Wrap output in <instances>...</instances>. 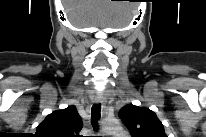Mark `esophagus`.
Instances as JSON below:
<instances>
[{
    "mask_svg": "<svg viewBox=\"0 0 206 137\" xmlns=\"http://www.w3.org/2000/svg\"><path fill=\"white\" fill-rule=\"evenodd\" d=\"M95 102L97 104H102L103 111H105L104 97L102 95H98L95 99Z\"/></svg>",
    "mask_w": 206,
    "mask_h": 137,
    "instance_id": "34e87169",
    "label": "esophagus"
}]
</instances>
